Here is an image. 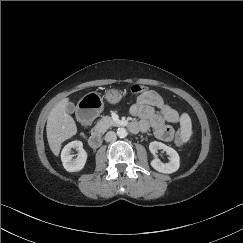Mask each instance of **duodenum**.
I'll return each instance as SVG.
<instances>
[{"instance_id": "410a0bca", "label": "duodenum", "mask_w": 243, "mask_h": 243, "mask_svg": "<svg viewBox=\"0 0 243 243\" xmlns=\"http://www.w3.org/2000/svg\"><path fill=\"white\" fill-rule=\"evenodd\" d=\"M127 126L129 127V129L131 131H134L137 129V126H134L132 124H127ZM101 143H102L101 134L98 131H93L89 138L90 146L93 148H97L101 145Z\"/></svg>"}]
</instances>
